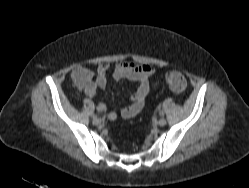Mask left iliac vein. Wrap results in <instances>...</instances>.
I'll return each mask as SVG.
<instances>
[{
  "mask_svg": "<svg viewBox=\"0 0 249 188\" xmlns=\"http://www.w3.org/2000/svg\"><path fill=\"white\" fill-rule=\"evenodd\" d=\"M166 123H167V121H166L165 118H160V119L158 120V122H157V124H158L159 126H164V125H166Z\"/></svg>",
  "mask_w": 249,
  "mask_h": 188,
  "instance_id": "left-iliac-vein-1",
  "label": "left iliac vein"
}]
</instances>
